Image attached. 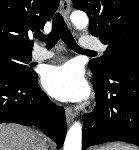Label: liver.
<instances>
[{
    "label": "liver",
    "instance_id": "obj_1",
    "mask_svg": "<svg viewBox=\"0 0 139 150\" xmlns=\"http://www.w3.org/2000/svg\"><path fill=\"white\" fill-rule=\"evenodd\" d=\"M42 139L32 129L18 124L0 125V150H43Z\"/></svg>",
    "mask_w": 139,
    "mask_h": 150
}]
</instances>
